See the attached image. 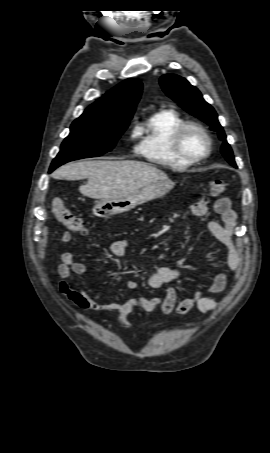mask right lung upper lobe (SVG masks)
Listing matches in <instances>:
<instances>
[{
	"label": "right lung upper lobe",
	"mask_w": 270,
	"mask_h": 453,
	"mask_svg": "<svg viewBox=\"0 0 270 453\" xmlns=\"http://www.w3.org/2000/svg\"><path fill=\"white\" fill-rule=\"evenodd\" d=\"M141 92L142 83L138 79H127L90 105L79 118L128 125Z\"/></svg>",
	"instance_id": "1"
}]
</instances>
